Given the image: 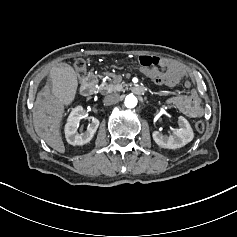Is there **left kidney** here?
Segmentation results:
<instances>
[{
    "label": "left kidney",
    "instance_id": "5707ae66",
    "mask_svg": "<svg viewBox=\"0 0 237 237\" xmlns=\"http://www.w3.org/2000/svg\"><path fill=\"white\" fill-rule=\"evenodd\" d=\"M179 129H176L172 135H163L159 131L153 132V139L162 148L177 149L185 146L193 140L194 133L187 119L183 116L178 117Z\"/></svg>",
    "mask_w": 237,
    "mask_h": 237
}]
</instances>
